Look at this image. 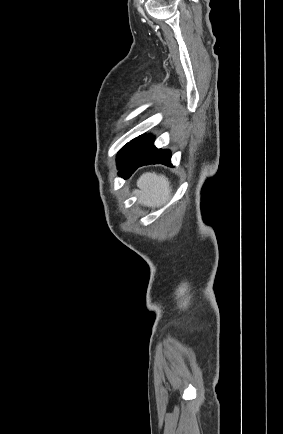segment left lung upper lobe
<instances>
[{"label": "left lung upper lobe", "mask_w": 283, "mask_h": 434, "mask_svg": "<svg viewBox=\"0 0 283 434\" xmlns=\"http://www.w3.org/2000/svg\"><path fill=\"white\" fill-rule=\"evenodd\" d=\"M154 142L152 135H141L127 143L117 155V165L142 157Z\"/></svg>", "instance_id": "left-lung-upper-lobe-1"}]
</instances>
